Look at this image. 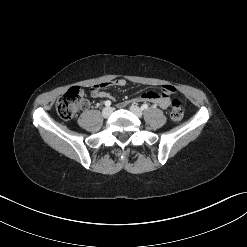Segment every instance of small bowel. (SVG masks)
I'll list each match as a JSON object with an SVG mask.
<instances>
[{
    "label": "small bowel",
    "mask_w": 247,
    "mask_h": 247,
    "mask_svg": "<svg viewBox=\"0 0 247 247\" xmlns=\"http://www.w3.org/2000/svg\"><path fill=\"white\" fill-rule=\"evenodd\" d=\"M111 85L116 87H123L126 85V80L123 78H117L111 82ZM175 91L174 87L171 85H164L161 92H146L134 99L136 102L144 101L150 102L161 109L166 110L170 106L171 103V94ZM91 94L96 98H114L111 93L102 91L101 89H95L94 86L91 88ZM125 104H121L124 106Z\"/></svg>",
    "instance_id": "obj_1"
}]
</instances>
